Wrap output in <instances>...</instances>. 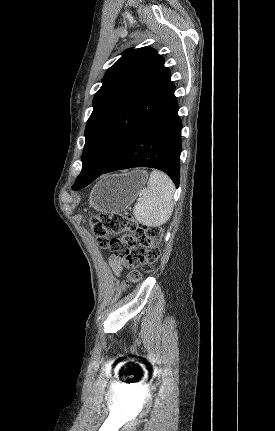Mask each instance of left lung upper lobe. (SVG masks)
Wrapping results in <instances>:
<instances>
[{
  "label": "left lung upper lobe",
  "instance_id": "1",
  "mask_svg": "<svg viewBox=\"0 0 275 431\" xmlns=\"http://www.w3.org/2000/svg\"><path fill=\"white\" fill-rule=\"evenodd\" d=\"M164 58L151 47L128 49L102 79L85 128L81 173L111 165L175 89ZM80 173V174H81Z\"/></svg>",
  "mask_w": 275,
  "mask_h": 431
}]
</instances>
